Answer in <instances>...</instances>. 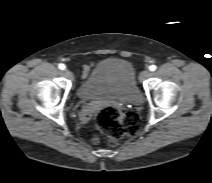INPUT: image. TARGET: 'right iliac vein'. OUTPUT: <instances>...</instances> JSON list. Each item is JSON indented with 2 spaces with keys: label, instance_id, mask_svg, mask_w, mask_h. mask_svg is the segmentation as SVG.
<instances>
[{
  "label": "right iliac vein",
  "instance_id": "63e3f726",
  "mask_svg": "<svg viewBox=\"0 0 212 183\" xmlns=\"http://www.w3.org/2000/svg\"><path fill=\"white\" fill-rule=\"evenodd\" d=\"M64 73L68 78H70V79L74 78V75L70 70H65Z\"/></svg>",
  "mask_w": 212,
  "mask_h": 183
}]
</instances>
